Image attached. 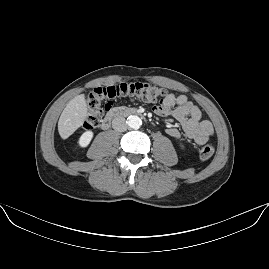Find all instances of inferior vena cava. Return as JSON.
Here are the masks:
<instances>
[{
	"label": "inferior vena cava",
	"instance_id": "obj_1",
	"mask_svg": "<svg viewBox=\"0 0 269 269\" xmlns=\"http://www.w3.org/2000/svg\"><path fill=\"white\" fill-rule=\"evenodd\" d=\"M112 127L114 130L123 132L128 128V124L124 117L118 116L112 120Z\"/></svg>",
	"mask_w": 269,
	"mask_h": 269
}]
</instances>
